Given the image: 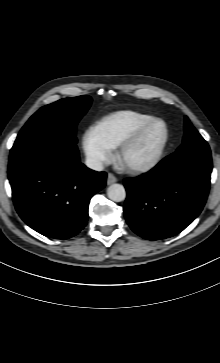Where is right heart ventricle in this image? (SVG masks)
Masks as SVG:
<instances>
[{
	"label": "right heart ventricle",
	"instance_id": "1",
	"mask_svg": "<svg viewBox=\"0 0 220 363\" xmlns=\"http://www.w3.org/2000/svg\"><path fill=\"white\" fill-rule=\"evenodd\" d=\"M154 117L133 110H121L103 117L95 129L100 138L112 149L128 137L138 127Z\"/></svg>",
	"mask_w": 220,
	"mask_h": 363
}]
</instances>
